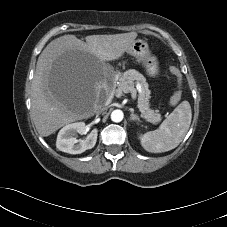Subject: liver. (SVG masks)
Segmentation results:
<instances>
[{"mask_svg":"<svg viewBox=\"0 0 227 227\" xmlns=\"http://www.w3.org/2000/svg\"><path fill=\"white\" fill-rule=\"evenodd\" d=\"M136 37V32L90 35L85 37L84 42L74 35H64L44 48L38 57L31 87L32 119L41 136H49L66 124L93 115V105H96L105 86L98 63L120 58ZM67 52L81 55L88 66L87 84L81 92L74 95L56 90L49 79L52 65L60 55ZM87 101L90 106L86 107Z\"/></svg>","mask_w":227,"mask_h":227,"instance_id":"6515ba94","label":"liver"}]
</instances>
